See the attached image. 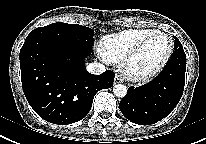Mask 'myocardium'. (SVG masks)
I'll return each mask as SVG.
<instances>
[{"label": "myocardium", "mask_w": 206, "mask_h": 144, "mask_svg": "<svg viewBox=\"0 0 206 144\" xmlns=\"http://www.w3.org/2000/svg\"><path fill=\"white\" fill-rule=\"evenodd\" d=\"M159 35L165 36L169 40L170 46H169V50H168L167 55L153 69L148 70V71H144V72L135 71L132 68V64H133L134 60L143 51V49L148 44V42L150 40H152L154 37L159 36ZM173 52H174V42H173L172 37L169 34L165 33V32L155 31V32L151 33L150 35H148L147 37H145L143 40H141L135 47H133L127 53V55L121 61V70H122L123 74L128 79H130L132 81H145V80H148V79L154 77L155 75H157L158 73H160L164 69V67L170 61Z\"/></svg>", "instance_id": "f54148a6"}]
</instances>
